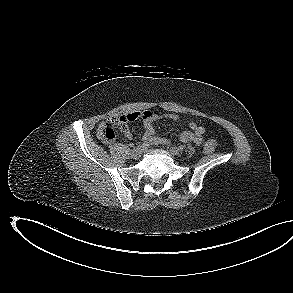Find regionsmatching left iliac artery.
<instances>
[{
  "label": "left iliac artery",
  "instance_id": "obj_1",
  "mask_svg": "<svg viewBox=\"0 0 293 293\" xmlns=\"http://www.w3.org/2000/svg\"><path fill=\"white\" fill-rule=\"evenodd\" d=\"M184 148H185V146H183V145H180V146H179V149H180L181 151H183Z\"/></svg>",
  "mask_w": 293,
  "mask_h": 293
}]
</instances>
